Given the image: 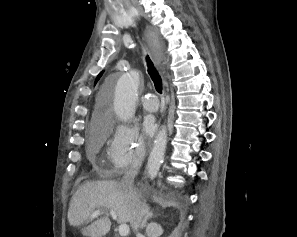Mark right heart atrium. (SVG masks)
Returning <instances> with one entry per match:
<instances>
[{
    "label": "right heart atrium",
    "mask_w": 297,
    "mask_h": 237,
    "mask_svg": "<svg viewBox=\"0 0 297 237\" xmlns=\"http://www.w3.org/2000/svg\"><path fill=\"white\" fill-rule=\"evenodd\" d=\"M103 125L101 138L111 136L108 142V160L113 172L140 164L146 152V143L138 129L117 122L112 117H107Z\"/></svg>",
    "instance_id": "obj_1"
}]
</instances>
